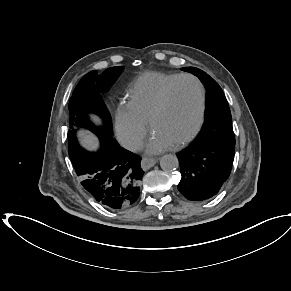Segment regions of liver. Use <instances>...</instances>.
<instances>
[{
  "instance_id": "obj_1",
  "label": "liver",
  "mask_w": 291,
  "mask_h": 291,
  "mask_svg": "<svg viewBox=\"0 0 291 291\" xmlns=\"http://www.w3.org/2000/svg\"><path fill=\"white\" fill-rule=\"evenodd\" d=\"M97 120V119H96ZM81 141L82 143L89 149L95 150L98 147V142L95 137L90 135L87 132H81L80 133Z\"/></svg>"
}]
</instances>
